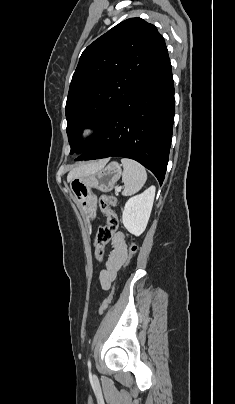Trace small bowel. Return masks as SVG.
Instances as JSON below:
<instances>
[{"label":"small bowel","instance_id":"1","mask_svg":"<svg viewBox=\"0 0 235 404\" xmlns=\"http://www.w3.org/2000/svg\"><path fill=\"white\" fill-rule=\"evenodd\" d=\"M128 258L125 234L116 232L111 240V251L107 257L105 268L100 272L99 280L103 290L110 289L118 271Z\"/></svg>","mask_w":235,"mask_h":404}]
</instances>
